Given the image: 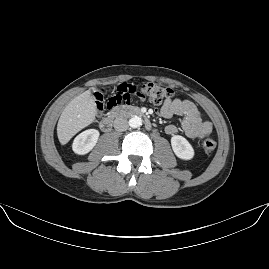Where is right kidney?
<instances>
[{
  "label": "right kidney",
  "mask_w": 269,
  "mask_h": 269,
  "mask_svg": "<svg viewBox=\"0 0 269 269\" xmlns=\"http://www.w3.org/2000/svg\"><path fill=\"white\" fill-rule=\"evenodd\" d=\"M99 131L88 129L80 133L73 141L72 149L76 154L84 155L90 152L96 145Z\"/></svg>",
  "instance_id": "1"
}]
</instances>
